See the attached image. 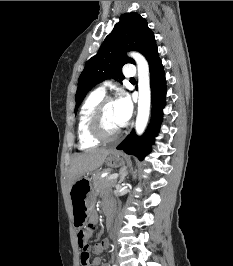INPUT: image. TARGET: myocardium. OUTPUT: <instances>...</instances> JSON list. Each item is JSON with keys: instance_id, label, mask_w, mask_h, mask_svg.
<instances>
[{"instance_id": "1", "label": "myocardium", "mask_w": 233, "mask_h": 266, "mask_svg": "<svg viewBox=\"0 0 233 266\" xmlns=\"http://www.w3.org/2000/svg\"><path fill=\"white\" fill-rule=\"evenodd\" d=\"M110 102H114V98L111 96H104L95 106L91 115L89 131L91 136L100 142L113 141L121 134L120 128L113 133H107L103 127L104 110Z\"/></svg>"}]
</instances>
